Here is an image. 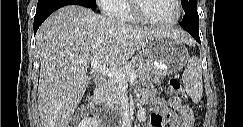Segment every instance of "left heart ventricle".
<instances>
[{"label": "left heart ventricle", "mask_w": 243, "mask_h": 127, "mask_svg": "<svg viewBox=\"0 0 243 127\" xmlns=\"http://www.w3.org/2000/svg\"><path fill=\"white\" fill-rule=\"evenodd\" d=\"M143 12L157 21H170L177 15V7L173 0H142Z\"/></svg>", "instance_id": "obj_1"}]
</instances>
